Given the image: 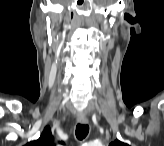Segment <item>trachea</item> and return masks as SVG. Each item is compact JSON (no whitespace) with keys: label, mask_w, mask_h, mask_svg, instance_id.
<instances>
[{"label":"trachea","mask_w":164,"mask_h":146,"mask_svg":"<svg viewBox=\"0 0 164 146\" xmlns=\"http://www.w3.org/2000/svg\"><path fill=\"white\" fill-rule=\"evenodd\" d=\"M89 132V127L86 124H77L76 126V137L78 140H83Z\"/></svg>","instance_id":"3493384b"}]
</instances>
